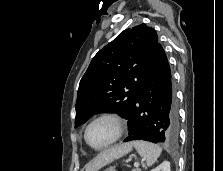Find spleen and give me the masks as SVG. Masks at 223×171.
I'll list each match as a JSON object with an SVG mask.
<instances>
[{
	"mask_svg": "<svg viewBox=\"0 0 223 171\" xmlns=\"http://www.w3.org/2000/svg\"><path fill=\"white\" fill-rule=\"evenodd\" d=\"M138 154L146 161L147 166H152L161 155L162 148L157 144L146 141H133Z\"/></svg>",
	"mask_w": 223,
	"mask_h": 171,
	"instance_id": "spleen-1",
	"label": "spleen"
}]
</instances>
